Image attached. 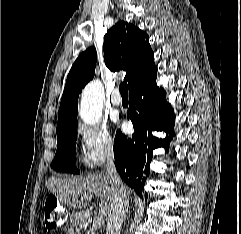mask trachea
I'll return each instance as SVG.
<instances>
[{
    "mask_svg": "<svg viewBox=\"0 0 241 234\" xmlns=\"http://www.w3.org/2000/svg\"><path fill=\"white\" fill-rule=\"evenodd\" d=\"M120 93L122 97H128V85L126 82L120 84Z\"/></svg>",
    "mask_w": 241,
    "mask_h": 234,
    "instance_id": "1",
    "label": "trachea"
}]
</instances>
